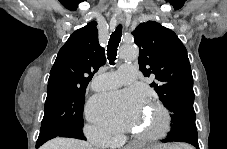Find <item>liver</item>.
<instances>
[{
	"instance_id": "1",
	"label": "liver",
	"mask_w": 227,
	"mask_h": 149,
	"mask_svg": "<svg viewBox=\"0 0 227 149\" xmlns=\"http://www.w3.org/2000/svg\"><path fill=\"white\" fill-rule=\"evenodd\" d=\"M164 147L169 148L171 146ZM41 149H94V148L92 145L84 141L58 137L45 143L41 147Z\"/></svg>"
}]
</instances>
